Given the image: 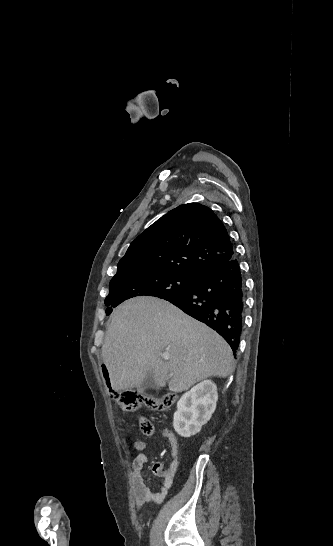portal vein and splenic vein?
<instances>
[{
  "instance_id": "obj_1",
  "label": "portal vein and splenic vein",
  "mask_w": 333,
  "mask_h": 546,
  "mask_svg": "<svg viewBox=\"0 0 333 546\" xmlns=\"http://www.w3.org/2000/svg\"><path fill=\"white\" fill-rule=\"evenodd\" d=\"M162 358H163L164 360H169V359H170V355H169L168 353H163V354H162Z\"/></svg>"
}]
</instances>
